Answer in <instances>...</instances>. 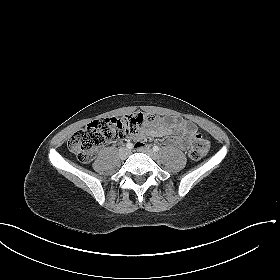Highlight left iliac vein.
Segmentation results:
<instances>
[{
    "instance_id": "4c4485c4",
    "label": "left iliac vein",
    "mask_w": 280,
    "mask_h": 280,
    "mask_svg": "<svg viewBox=\"0 0 280 280\" xmlns=\"http://www.w3.org/2000/svg\"><path fill=\"white\" fill-rule=\"evenodd\" d=\"M139 149H140L139 150L140 152L147 154L152 159H154V160L158 159V154L156 152H154L152 149H150V148H139Z\"/></svg>"
}]
</instances>
